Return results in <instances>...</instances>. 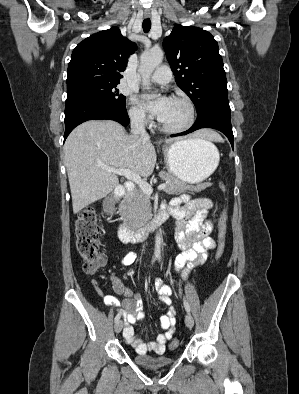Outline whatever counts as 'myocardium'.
Listing matches in <instances>:
<instances>
[{
	"instance_id": "f54148a6",
	"label": "myocardium",
	"mask_w": 299,
	"mask_h": 394,
	"mask_svg": "<svg viewBox=\"0 0 299 394\" xmlns=\"http://www.w3.org/2000/svg\"><path fill=\"white\" fill-rule=\"evenodd\" d=\"M171 100L181 101L183 102L189 109V120L188 122L180 127H168L164 125L161 120H158L159 127L167 133H182L189 130L195 123L196 120V108L194 103L191 101L190 98L183 96V95H173L170 97Z\"/></svg>"
}]
</instances>
